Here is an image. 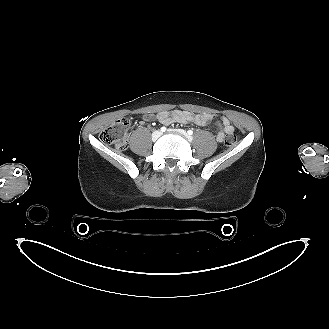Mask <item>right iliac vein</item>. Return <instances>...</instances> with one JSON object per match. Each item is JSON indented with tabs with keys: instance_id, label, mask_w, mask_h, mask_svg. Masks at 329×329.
I'll list each match as a JSON object with an SVG mask.
<instances>
[{
	"instance_id": "63e3f726",
	"label": "right iliac vein",
	"mask_w": 329,
	"mask_h": 329,
	"mask_svg": "<svg viewBox=\"0 0 329 329\" xmlns=\"http://www.w3.org/2000/svg\"><path fill=\"white\" fill-rule=\"evenodd\" d=\"M161 135V132L159 131H155L153 134H152V140L153 141H156L158 139V137H160Z\"/></svg>"
}]
</instances>
